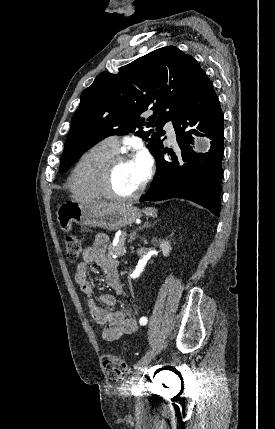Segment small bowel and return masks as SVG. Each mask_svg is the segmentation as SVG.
Segmentation results:
<instances>
[{
    "label": "small bowel",
    "instance_id": "c3829d8e",
    "mask_svg": "<svg viewBox=\"0 0 275 429\" xmlns=\"http://www.w3.org/2000/svg\"><path fill=\"white\" fill-rule=\"evenodd\" d=\"M108 238L99 234L94 244L87 247L75 271V282L79 285L82 294L87 299L88 311L92 319L101 326L102 338L112 342L132 334L138 329V309L134 302L129 300L123 309L111 311L108 308L116 304V298L103 294L98 298L99 305L94 298L93 287L88 280L87 270L90 263H95L103 272L106 283L118 294L122 292L119 273L115 261L107 258L106 248Z\"/></svg>",
    "mask_w": 275,
    "mask_h": 429
}]
</instances>
